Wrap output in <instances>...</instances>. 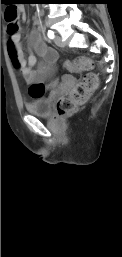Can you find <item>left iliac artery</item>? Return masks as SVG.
Listing matches in <instances>:
<instances>
[{"mask_svg": "<svg viewBox=\"0 0 122 257\" xmlns=\"http://www.w3.org/2000/svg\"><path fill=\"white\" fill-rule=\"evenodd\" d=\"M47 36H48V38H50V39H53V38L55 37L54 32H53L52 30H48Z\"/></svg>", "mask_w": 122, "mask_h": 257, "instance_id": "obj_1", "label": "left iliac artery"}]
</instances>
